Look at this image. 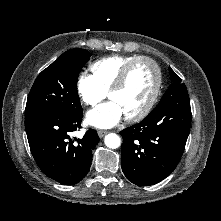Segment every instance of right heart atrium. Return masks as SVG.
<instances>
[{
	"label": "right heart atrium",
	"instance_id": "obj_1",
	"mask_svg": "<svg viewBox=\"0 0 221 221\" xmlns=\"http://www.w3.org/2000/svg\"><path fill=\"white\" fill-rule=\"evenodd\" d=\"M77 93L83 104L94 107L101 102L106 93L103 92L92 76L81 74L77 81Z\"/></svg>",
	"mask_w": 221,
	"mask_h": 221
}]
</instances>
